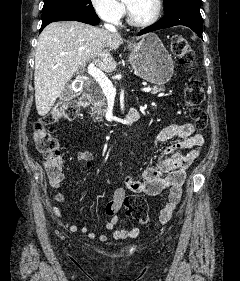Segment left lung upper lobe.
Masks as SVG:
<instances>
[{
  "label": "left lung upper lobe",
  "mask_w": 240,
  "mask_h": 281,
  "mask_svg": "<svg viewBox=\"0 0 240 281\" xmlns=\"http://www.w3.org/2000/svg\"><path fill=\"white\" fill-rule=\"evenodd\" d=\"M164 1V11L167 12L177 4L182 2H196L201 4V0H163Z\"/></svg>",
  "instance_id": "obj_1"
}]
</instances>
